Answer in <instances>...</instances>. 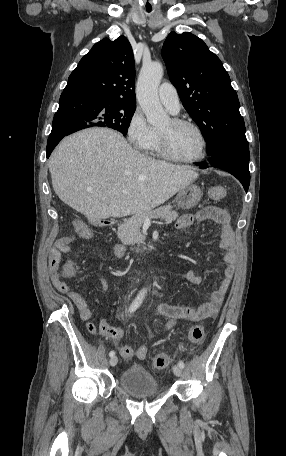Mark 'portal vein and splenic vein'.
Returning a JSON list of instances; mask_svg holds the SVG:
<instances>
[{"instance_id":"obj_1","label":"portal vein and splenic vein","mask_w":286,"mask_h":456,"mask_svg":"<svg viewBox=\"0 0 286 456\" xmlns=\"http://www.w3.org/2000/svg\"><path fill=\"white\" fill-rule=\"evenodd\" d=\"M87 190H88V191H91L92 188H88ZM144 222L147 223V224H150V223H151V220H150V218H145Z\"/></svg>"}]
</instances>
